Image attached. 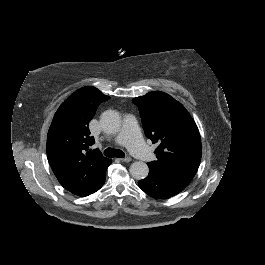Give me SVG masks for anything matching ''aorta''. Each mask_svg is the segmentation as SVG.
Returning a JSON list of instances; mask_svg holds the SVG:
<instances>
[{
	"label": "aorta",
	"instance_id": "obj_1",
	"mask_svg": "<svg viewBox=\"0 0 265 265\" xmlns=\"http://www.w3.org/2000/svg\"><path fill=\"white\" fill-rule=\"evenodd\" d=\"M100 124L105 133H117L121 125L119 113L115 110H106L100 117ZM129 171L134 179L141 180L148 176L149 168L145 162L136 161L131 164Z\"/></svg>",
	"mask_w": 265,
	"mask_h": 265
}]
</instances>
